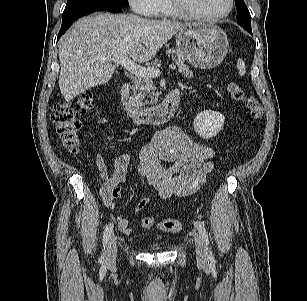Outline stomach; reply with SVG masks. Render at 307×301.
Returning a JSON list of instances; mask_svg holds the SVG:
<instances>
[{"mask_svg":"<svg viewBox=\"0 0 307 301\" xmlns=\"http://www.w3.org/2000/svg\"><path fill=\"white\" fill-rule=\"evenodd\" d=\"M176 47L188 63L208 69L223 61L229 41L226 33L216 25L192 24L176 35Z\"/></svg>","mask_w":307,"mask_h":301,"instance_id":"stomach-1","label":"stomach"}]
</instances>
